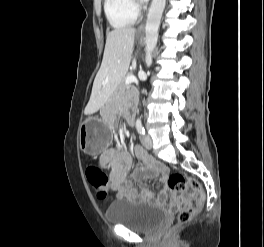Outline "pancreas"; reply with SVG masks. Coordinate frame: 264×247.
Here are the masks:
<instances>
[{
  "label": "pancreas",
  "instance_id": "cf45deb5",
  "mask_svg": "<svg viewBox=\"0 0 264 247\" xmlns=\"http://www.w3.org/2000/svg\"><path fill=\"white\" fill-rule=\"evenodd\" d=\"M132 73H129L127 74L125 77H124V80L120 83L119 87H118V91H117V94H123L125 92V90H128L131 86L129 84H125V79L128 77V76H131Z\"/></svg>",
  "mask_w": 264,
  "mask_h": 247
}]
</instances>
